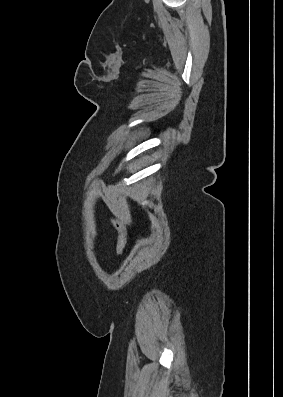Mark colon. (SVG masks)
Here are the masks:
<instances>
[{
    "label": "colon",
    "mask_w": 283,
    "mask_h": 397,
    "mask_svg": "<svg viewBox=\"0 0 283 397\" xmlns=\"http://www.w3.org/2000/svg\"><path fill=\"white\" fill-rule=\"evenodd\" d=\"M110 219H111V222H112L114 228L118 232L116 253L118 256H121L124 251L125 245H126V238H127L126 227L123 224V222H121L119 219H117L115 217H110Z\"/></svg>",
    "instance_id": "5ec220e1"
}]
</instances>
